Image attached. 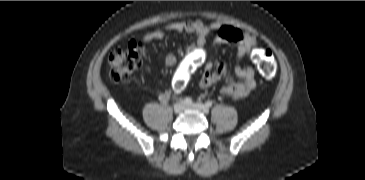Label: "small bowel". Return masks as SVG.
I'll list each match as a JSON object with an SVG mask.
<instances>
[{
	"label": "small bowel",
	"mask_w": 365,
	"mask_h": 180,
	"mask_svg": "<svg viewBox=\"0 0 365 180\" xmlns=\"http://www.w3.org/2000/svg\"><path fill=\"white\" fill-rule=\"evenodd\" d=\"M188 32L195 35V42L188 46L187 57L180 66L174 77L175 86L184 83L191 72L201 68L202 74L199 86L207 89L225 80L221 93L231 99L246 97L256 85L255 71L252 67L244 66L240 62L244 59H251L253 53L258 49L257 37L249 32L241 31L231 25L215 22H203L200 20H186L171 23L162 29L148 32L143 37V42L148 43L166 37L169 32ZM215 32V44H228L235 48L238 64L234 68L235 77L229 72L225 63H215L209 59L206 52L207 36ZM177 62L175 54L169 52L165 56V65L173 67ZM150 71V69H148ZM170 99V92L165 91L160 95L162 102Z\"/></svg>",
	"instance_id": "1"
}]
</instances>
